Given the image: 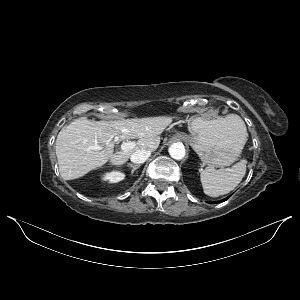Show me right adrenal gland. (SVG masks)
Here are the masks:
<instances>
[{
    "instance_id": "1",
    "label": "right adrenal gland",
    "mask_w": 300,
    "mask_h": 300,
    "mask_svg": "<svg viewBox=\"0 0 300 300\" xmlns=\"http://www.w3.org/2000/svg\"><path fill=\"white\" fill-rule=\"evenodd\" d=\"M128 167L132 168L131 174L133 175V173L135 172V170H137L140 167V165H133L131 163H128Z\"/></svg>"
}]
</instances>
